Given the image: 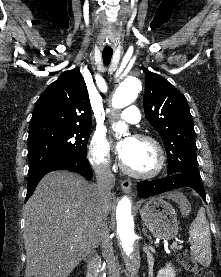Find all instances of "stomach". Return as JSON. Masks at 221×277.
<instances>
[{
	"label": "stomach",
	"mask_w": 221,
	"mask_h": 277,
	"mask_svg": "<svg viewBox=\"0 0 221 277\" xmlns=\"http://www.w3.org/2000/svg\"><path fill=\"white\" fill-rule=\"evenodd\" d=\"M180 206L184 215L189 212L190 206L186 200ZM140 216L154 237L170 240L178 234L177 213L162 197L148 200L141 208Z\"/></svg>",
	"instance_id": "stomach-1"
}]
</instances>
